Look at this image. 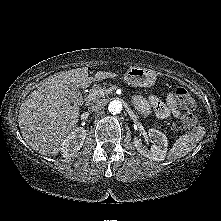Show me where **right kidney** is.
I'll list each match as a JSON object with an SVG mask.
<instances>
[{
    "instance_id": "ca27d5eb",
    "label": "right kidney",
    "mask_w": 221,
    "mask_h": 221,
    "mask_svg": "<svg viewBox=\"0 0 221 221\" xmlns=\"http://www.w3.org/2000/svg\"><path fill=\"white\" fill-rule=\"evenodd\" d=\"M86 138V130L77 128L73 130L61 144V155L65 158L72 157L83 146Z\"/></svg>"
}]
</instances>
